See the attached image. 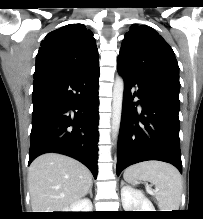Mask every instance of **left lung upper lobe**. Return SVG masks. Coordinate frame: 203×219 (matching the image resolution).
Segmentation results:
<instances>
[{"label":"left lung upper lobe","instance_id":"5c2ea615","mask_svg":"<svg viewBox=\"0 0 203 219\" xmlns=\"http://www.w3.org/2000/svg\"><path fill=\"white\" fill-rule=\"evenodd\" d=\"M118 65L140 77L180 87L179 67L172 48L146 25L134 24L125 34Z\"/></svg>","mask_w":203,"mask_h":219}]
</instances>
